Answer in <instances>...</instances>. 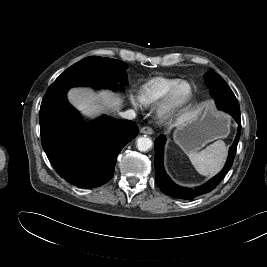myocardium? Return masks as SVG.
Returning <instances> with one entry per match:
<instances>
[{"label":"myocardium","mask_w":267,"mask_h":267,"mask_svg":"<svg viewBox=\"0 0 267 267\" xmlns=\"http://www.w3.org/2000/svg\"><path fill=\"white\" fill-rule=\"evenodd\" d=\"M182 88H186L187 93L181 99H177L178 92ZM192 96V86L186 81H180L159 101L157 106L159 118L166 122L174 121L189 104Z\"/></svg>","instance_id":"f54148a6"}]
</instances>
